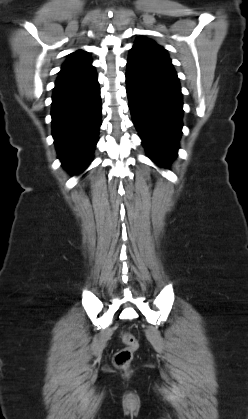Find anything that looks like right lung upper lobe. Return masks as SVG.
I'll return each instance as SVG.
<instances>
[{
	"label": "right lung upper lobe",
	"mask_w": 248,
	"mask_h": 419,
	"mask_svg": "<svg viewBox=\"0 0 248 419\" xmlns=\"http://www.w3.org/2000/svg\"><path fill=\"white\" fill-rule=\"evenodd\" d=\"M90 62V55L86 51L79 50L73 52L68 56L66 62L63 64L60 73L75 69Z\"/></svg>",
	"instance_id": "cb5924a9"
}]
</instances>
